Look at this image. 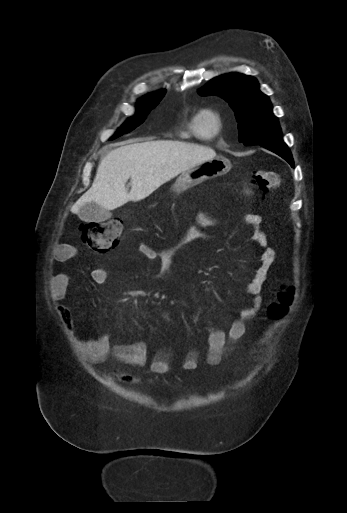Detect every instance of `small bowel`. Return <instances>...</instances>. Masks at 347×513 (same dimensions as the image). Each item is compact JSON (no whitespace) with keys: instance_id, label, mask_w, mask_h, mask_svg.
I'll return each instance as SVG.
<instances>
[{"instance_id":"small-bowel-1","label":"small bowel","mask_w":347,"mask_h":513,"mask_svg":"<svg viewBox=\"0 0 347 513\" xmlns=\"http://www.w3.org/2000/svg\"><path fill=\"white\" fill-rule=\"evenodd\" d=\"M220 218L207 211H202L197 217V224L189 228L178 241L165 248L161 252H156L148 246L141 245L137 250V257L143 262H153L157 259L161 261L160 277L169 282L171 280V267L176 251L186 244L194 241L207 239L210 235L205 231L206 228L215 226ZM245 225L251 228L252 240L260 248L259 264L254 277L244 286L243 292L250 297V304L238 311V318L234 319L229 328L224 330L218 326L211 325L207 338L206 362L210 366L219 365L231 351L233 345L239 341L246 333V322L253 319L261 305L260 294L263 285L267 281L271 265L275 260V250L269 245L267 236L262 230V217L258 214H246L243 217ZM70 247L61 245L53 250V259L55 262H64L71 257ZM91 279L96 284H103L108 278V272L103 268L93 269L90 273ZM69 278L65 273L54 274L49 283V290L52 298L56 301L61 300L68 288ZM65 323L70 327L71 320L69 310L66 307H59ZM77 347L82 358L92 364L103 363L110 356L114 357L119 363L134 368H141L148 362L147 345L143 341H136L131 344L112 345L107 333L102 334L97 339L84 340L77 338ZM170 354L167 350L156 352L151 360V371L157 374H163L170 369ZM199 352L197 350L188 351L182 361L183 370L192 371L198 367ZM127 381H133L134 377L125 375Z\"/></svg>"}]
</instances>
